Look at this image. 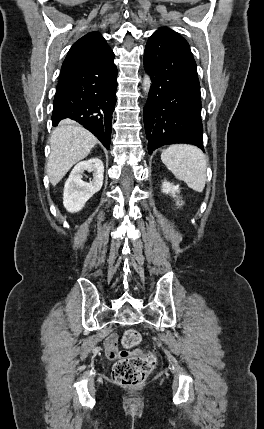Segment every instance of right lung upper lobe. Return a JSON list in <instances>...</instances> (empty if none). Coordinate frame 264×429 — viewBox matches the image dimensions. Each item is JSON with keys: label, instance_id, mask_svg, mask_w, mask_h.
<instances>
[{"label": "right lung upper lobe", "instance_id": "right-lung-upper-lobe-1", "mask_svg": "<svg viewBox=\"0 0 264 429\" xmlns=\"http://www.w3.org/2000/svg\"><path fill=\"white\" fill-rule=\"evenodd\" d=\"M110 50L105 39L97 32H90L80 38L69 50L61 69V75L72 71Z\"/></svg>", "mask_w": 264, "mask_h": 429}]
</instances>
